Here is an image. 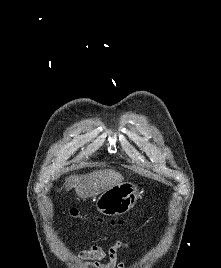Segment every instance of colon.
Here are the masks:
<instances>
[{"label": "colon", "instance_id": "obj_1", "mask_svg": "<svg viewBox=\"0 0 221 268\" xmlns=\"http://www.w3.org/2000/svg\"><path fill=\"white\" fill-rule=\"evenodd\" d=\"M69 215L76 219H85V216L81 214L77 209H71L69 211ZM95 220H98L99 222H101L100 219H95ZM125 223H126V220H112L110 222V225L113 227H119V226H123Z\"/></svg>", "mask_w": 221, "mask_h": 268}]
</instances>
